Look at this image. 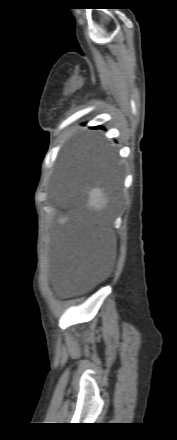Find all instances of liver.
Masks as SVG:
<instances>
[{
	"mask_svg": "<svg viewBox=\"0 0 177 440\" xmlns=\"http://www.w3.org/2000/svg\"><path fill=\"white\" fill-rule=\"evenodd\" d=\"M87 193H88L87 207L89 209L99 212L106 208L108 204V198L104 193L103 188L97 186L92 189H89L87 187Z\"/></svg>",
	"mask_w": 177,
	"mask_h": 440,
	"instance_id": "1",
	"label": "liver"
}]
</instances>
